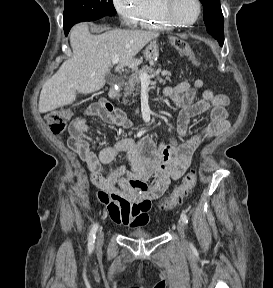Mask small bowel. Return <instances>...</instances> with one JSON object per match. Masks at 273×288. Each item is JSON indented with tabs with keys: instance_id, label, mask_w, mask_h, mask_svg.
I'll list each match as a JSON object with an SVG mask.
<instances>
[{
	"instance_id": "small-bowel-1",
	"label": "small bowel",
	"mask_w": 273,
	"mask_h": 288,
	"mask_svg": "<svg viewBox=\"0 0 273 288\" xmlns=\"http://www.w3.org/2000/svg\"><path fill=\"white\" fill-rule=\"evenodd\" d=\"M197 91L202 98L196 100ZM164 94L180 108L176 130L184 138L181 144L156 143L149 136L138 141L122 138L113 146L96 154L87 136L90 126L87 118L99 116L113 126L130 129L132 121L119 109L105 102L89 105L83 116L74 119L70 126L68 147L79 155L90 171L91 183L98 189L97 197L117 224L139 227L147 224L151 202L163 195L172 181L180 179L191 164L196 148L224 134L229 126L226 95L214 94L202 80L194 86L182 82L164 89ZM208 113L209 123L194 135L188 136L190 119ZM120 153H125L130 168H107Z\"/></svg>"
}]
</instances>
